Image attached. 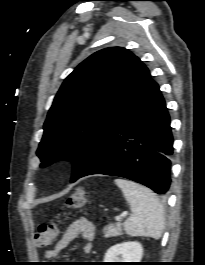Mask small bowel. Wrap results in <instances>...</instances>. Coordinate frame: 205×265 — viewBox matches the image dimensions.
Listing matches in <instances>:
<instances>
[{
    "instance_id": "obj_1",
    "label": "small bowel",
    "mask_w": 205,
    "mask_h": 265,
    "mask_svg": "<svg viewBox=\"0 0 205 265\" xmlns=\"http://www.w3.org/2000/svg\"><path fill=\"white\" fill-rule=\"evenodd\" d=\"M94 236L95 228L92 222L85 218L77 219L67 227L56 245L52 249L46 251L45 259L48 261L59 259L61 252L78 237H81L85 241L83 251L89 253L92 248Z\"/></svg>"
}]
</instances>
